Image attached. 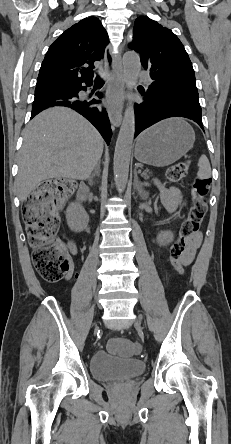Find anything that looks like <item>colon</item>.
<instances>
[{
  "label": "colon",
  "mask_w": 231,
  "mask_h": 444,
  "mask_svg": "<svg viewBox=\"0 0 231 444\" xmlns=\"http://www.w3.org/2000/svg\"><path fill=\"white\" fill-rule=\"evenodd\" d=\"M189 161H182L170 166L166 177L170 183H177L188 173ZM74 183L67 179H50L40 184L29 196L24 208V222L32 247V260L37 272L48 282H57L71 271L72 260L66 248L56 239L60 224L59 208L72 192ZM209 182L197 179L191 190L192 205L183 222L179 236L172 244L169 259L173 269L183 274L185 253L189 240L198 232L206 214V195ZM109 350L119 353L123 350L134 351L136 345L122 338L109 342Z\"/></svg>",
  "instance_id": "1"
}]
</instances>
